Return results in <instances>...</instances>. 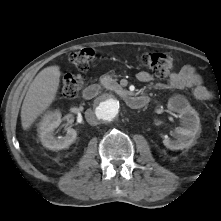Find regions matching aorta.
Listing matches in <instances>:
<instances>
[{
    "mask_svg": "<svg viewBox=\"0 0 221 221\" xmlns=\"http://www.w3.org/2000/svg\"><path fill=\"white\" fill-rule=\"evenodd\" d=\"M122 102L113 95H104L95 106L96 117L103 123L114 121L122 112Z\"/></svg>",
    "mask_w": 221,
    "mask_h": 221,
    "instance_id": "1",
    "label": "aorta"
}]
</instances>
